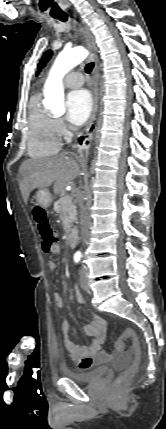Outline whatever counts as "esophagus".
I'll use <instances>...</instances> for the list:
<instances>
[{
	"label": "esophagus",
	"instance_id": "esophagus-1",
	"mask_svg": "<svg viewBox=\"0 0 166 429\" xmlns=\"http://www.w3.org/2000/svg\"><path fill=\"white\" fill-rule=\"evenodd\" d=\"M82 23H83V32L85 33L86 37L90 41V47L94 51V57H95V64H94V68H93V72H92L93 108H92L91 115L89 117V120H88L86 127H85V130H84V132L87 133L90 130L92 124L94 123V120L96 118L97 109H98L99 67H98V56H97L98 48L96 45L95 38H94L93 34L90 32L89 27L84 23V21H82Z\"/></svg>",
	"mask_w": 166,
	"mask_h": 429
}]
</instances>
